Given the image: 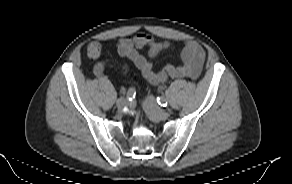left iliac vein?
<instances>
[{"instance_id":"obj_1","label":"left iliac vein","mask_w":292,"mask_h":184,"mask_svg":"<svg viewBox=\"0 0 292 184\" xmlns=\"http://www.w3.org/2000/svg\"><path fill=\"white\" fill-rule=\"evenodd\" d=\"M143 108L148 111L155 119L164 120L170 115L169 111L161 109L153 96H147L143 103Z\"/></svg>"}]
</instances>
